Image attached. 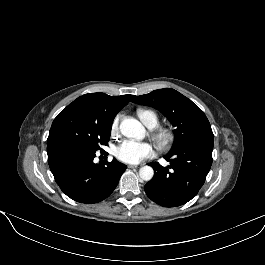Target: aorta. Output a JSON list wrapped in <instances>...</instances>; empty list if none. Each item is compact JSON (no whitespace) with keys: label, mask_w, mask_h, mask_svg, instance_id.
<instances>
[{"label":"aorta","mask_w":265,"mask_h":265,"mask_svg":"<svg viewBox=\"0 0 265 265\" xmlns=\"http://www.w3.org/2000/svg\"><path fill=\"white\" fill-rule=\"evenodd\" d=\"M121 133L128 138L143 139L146 130L144 126L134 118L123 119L120 123ZM154 171L150 166H143L139 169V176L144 181H149L153 178Z\"/></svg>","instance_id":"aorta-1"}]
</instances>
